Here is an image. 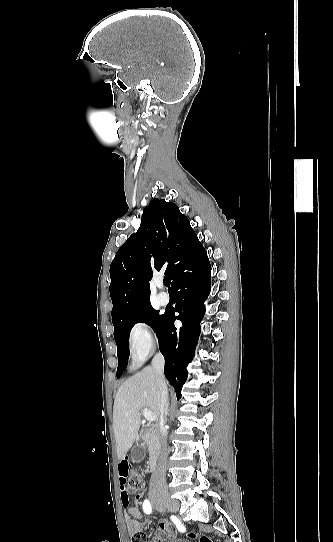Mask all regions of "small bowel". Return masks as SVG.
<instances>
[{
  "label": "small bowel",
  "instance_id": "c3829d8e",
  "mask_svg": "<svg viewBox=\"0 0 333 542\" xmlns=\"http://www.w3.org/2000/svg\"><path fill=\"white\" fill-rule=\"evenodd\" d=\"M128 473V462L122 460L119 464V486H120V500L121 504L125 509L124 518L127 524L129 532L133 533L140 530L142 523L139 521L143 518L145 511L141 509L143 504V494H137L135 496V506H129V496L125 486L126 478ZM160 527L162 530L166 531L169 537L173 538L176 536L178 529L173 527L166 521L161 522ZM157 541H160L161 534H156Z\"/></svg>",
  "mask_w": 333,
  "mask_h": 542
}]
</instances>
